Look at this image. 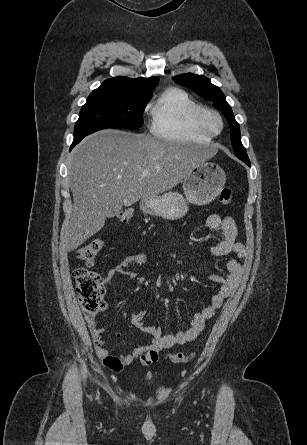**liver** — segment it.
<instances>
[{"label": "liver", "instance_id": "6515ba94", "mask_svg": "<svg viewBox=\"0 0 307 445\" xmlns=\"http://www.w3.org/2000/svg\"><path fill=\"white\" fill-rule=\"evenodd\" d=\"M206 158V148L156 140L150 134L117 128L90 134L72 154L74 202L61 247L75 251L104 227L106 216L119 214L123 204L131 206L140 198L171 190ZM144 168L147 176H141Z\"/></svg>", "mask_w": 307, "mask_h": 445}]
</instances>
